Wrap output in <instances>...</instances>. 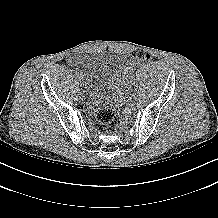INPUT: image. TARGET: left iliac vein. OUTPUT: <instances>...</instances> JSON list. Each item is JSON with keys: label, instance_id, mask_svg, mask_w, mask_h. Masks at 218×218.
<instances>
[{"label": "left iliac vein", "instance_id": "left-iliac-vein-1", "mask_svg": "<svg viewBox=\"0 0 218 218\" xmlns=\"http://www.w3.org/2000/svg\"><path fill=\"white\" fill-rule=\"evenodd\" d=\"M127 100H128L129 102H132L134 99H133L132 97H129Z\"/></svg>", "mask_w": 218, "mask_h": 218}]
</instances>
